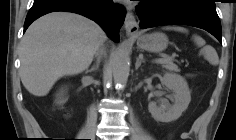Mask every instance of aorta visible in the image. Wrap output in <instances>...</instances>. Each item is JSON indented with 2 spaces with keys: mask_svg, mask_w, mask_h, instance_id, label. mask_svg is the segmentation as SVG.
Returning a JSON list of instances; mask_svg holds the SVG:
<instances>
[{
  "mask_svg": "<svg viewBox=\"0 0 236 140\" xmlns=\"http://www.w3.org/2000/svg\"><path fill=\"white\" fill-rule=\"evenodd\" d=\"M129 47L122 43L113 57V77L117 86H122L127 82L129 75Z\"/></svg>",
  "mask_w": 236,
  "mask_h": 140,
  "instance_id": "obj_1",
  "label": "aorta"
}]
</instances>
